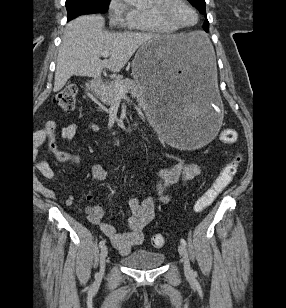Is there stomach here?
<instances>
[{"instance_id":"0dacf381","label":"stomach","mask_w":286,"mask_h":308,"mask_svg":"<svg viewBox=\"0 0 286 308\" xmlns=\"http://www.w3.org/2000/svg\"><path fill=\"white\" fill-rule=\"evenodd\" d=\"M215 54L207 37L155 36L134 57L132 75L144 89L145 113L173 149L217 143L213 132L221 125V100Z\"/></svg>"}]
</instances>
